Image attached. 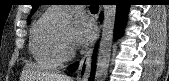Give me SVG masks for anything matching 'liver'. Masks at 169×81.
<instances>
[{
  "label": "liver",
  "instance_id": "obj_1",
  "mask_svg": "<svg viewBox=\"0 0 169 81\" xmlns=\"http://www.w3.org/2000/svg\"><path fill=\"white\" fill-rule=\"evenodd\" d=\"M27 68V81H71L70 77L61 73L40 71L32 65L27 66Z\"/></svg>",
  "mask_w": 169,
  "mask_h": 81
}]
</instances>
